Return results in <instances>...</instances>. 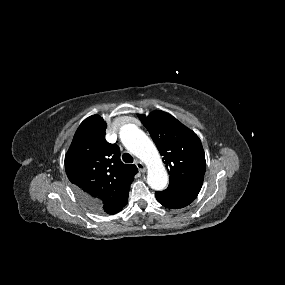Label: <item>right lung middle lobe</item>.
Listing matches in <instances>:
<instances>
[{"label": "right lung middle lobe", "mask_w": 285, "mask_h": 285, "mask_svg": "<svg viewBox=\"0 0 285 285\" xmlns=\"http://www.w3.org/2000/svg\"><path fill=\"white\" fill-rule=\"evenodd\" d=\"M87 206V205H86ZM89 209H91L92 211H94V212H96L93 208H91V207H89V206H87ZM96 213H98V212H96Z\"/></svg>", "instance_id": "obj_1"}]
</instances>
